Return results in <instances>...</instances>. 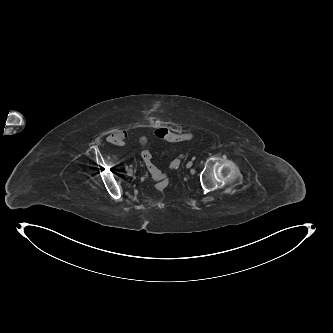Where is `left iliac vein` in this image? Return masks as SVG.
Here are the masks:
<instances>
[{
	"label": "left iliac vein",
	"mask_w": 333,
	"mask_h": 333,
	"mask_svg": "<svg viewBox=\"0 0 333 333\" xmlns=\"http://www.w3.org/2000/svg\"><path fill=\"white\" fill-rule=\"evenodd\" d=\"M192 165H193V162H192V161H189V162L186 164V167H187V168H190V167H192Z\"/></svg>",
	"instance_id": "left-iliac-vein-1"
}]
</instances>
